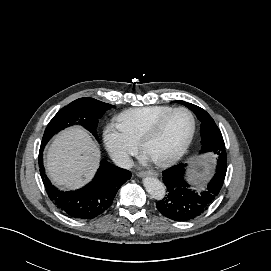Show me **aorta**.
<instances>
[{"instance_id": "obj_1", "label": "aorta", "mask_w": 271, "mask_h": 271, "mask_svg": "<svg viewBox=\"0 0 271 271\" xmlns=\"http://www.w3.org/2000/svg\"><path fill=\"white\" fill-rule=\"evenodd\" d=\"M143 185L152 198L162 200L165 197L166 189L159 179L146 177L143 179Z\"/></svg>"}]
</instances>
